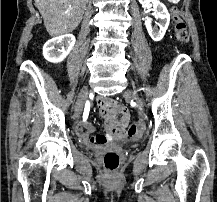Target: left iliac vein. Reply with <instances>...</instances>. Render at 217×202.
Listing matches in <instances>:
<instances>
[{"label":"left iliac vein","mask_w":217,"mask_h":202,"mask_svg":"<svg viewBox=\"0 0 217 202\" xmlns=\"http://www.w3.org/2000/svg\"><path fill=\"white\" fill-rule=\"evenodd\" d=\"M124 96L126 97V98H130V97H132V96H134V99H135V101L138 103V105H139V107H140V109L142 110V111H144V105H143V101L141 100V98L135 93H133L132 91H126L125 93H124Z\"/></svg>","instance_id":"1"}]
</instances>
